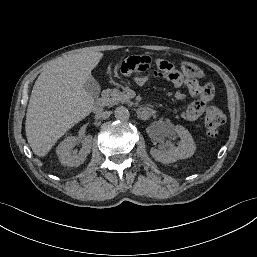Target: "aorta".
<instances>
[{
	"label": "aorta",
	"mask_w": 257,
	"mask_h": 257,
	"mask_svg": "<svg viewBox=\"0 0 257 257\" xmlns=\"http://www.w3.org/2000/svg\"><path fill=\"white\" fill-rule=\"evenodd\" d=\"M114 115L116 119L121 120V121H126L130 117V113L128 109L124 106H119L115 109Z\"/></svg>",
	"instance_id": "1"
}]
</instances>
